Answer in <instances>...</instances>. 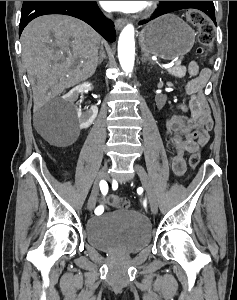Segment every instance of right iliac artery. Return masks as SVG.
<instances>
[{
    "mask_svg": "<svg viewBox=\"0 0 237 300\" xmlns=\"http://www.w3.org/2000/svg\"><path fill=\"white\" fill-rule=\"evenodd\" d=\"M99 186H100L101 192H102L104 195H106L107 192H108V184L106 183V181L102 180V181L100 182ZM98 210L103 211V210H104V209H103V206H98V207L95 209V212L98 211Z\"/></svg>",
    "mask_w": 237,
    "mask_h": 300,
    "instance_id": "82829eb1",
    "label": "right iliac artery"
}]
</instances>
